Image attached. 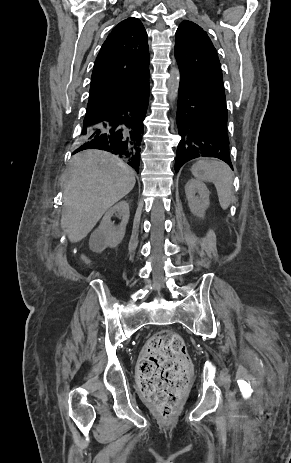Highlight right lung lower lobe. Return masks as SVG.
<instances>
[{"label": "right lung lower lobe", "mask_w": 291, "mask_h": 463, "mask_svg": "<svg viewBox=\"0 0 291 463\" xmlns=\"http://www.w3.org/2000/svg\"><path fill=\"white\" fill-rule=\"evenodd\" d=\"M148 102L149 85L127 97L119 107L88 123L84 119L81 145L74 154L90 148L105 150L123 158L138 172Z\"/></svg>", "instance_id": "1"}]
</instances>
